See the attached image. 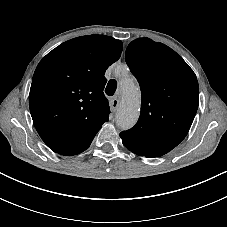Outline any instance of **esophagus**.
Returning a JSON list of instances; mask_svg holds the SVG:
<instances>
[{
    "instance_id": "1",
    "label": "esophagus",
    "mask_w": 227,
    "mask_h": 227,
    "mask_svg": "<svg viewBox=\"0 0 227 227\" xmlns=\"http://www.w3.org/2000/svg\"><path fill=\"white\" fill-rule=\"evenodd\" d=\"M118 107H119V99L115 97L110 101L111 111L115 112L118 109Z\"/></svg>"
}]
</instances>
